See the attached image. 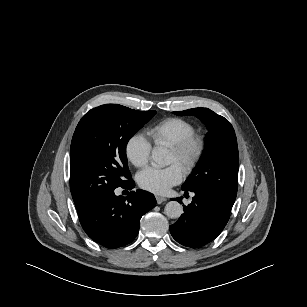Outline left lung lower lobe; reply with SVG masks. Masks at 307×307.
<instances>
[{
    "instance_id": "1",
    "label": "left lung lower lobe",
    "mask_w": 307,
    "mask_h": 307,
    "mask_svg": "<svg viewBox=\"0 0 307 307\" xmlns=\"http://www.w3.org/2000/svg\"><path fill=\"white\" fill-rule=\"evenodd\" d=\"M187 193V192H186ZM193 201L170 226L173 238L180 244L198 248L214 240L227 224L231 208L207 192L195 191ZM181 203V198L177 199Z\"/></svg>"
}]
</instances>
